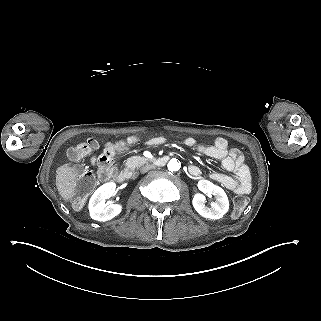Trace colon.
Segmentation results:
<instances>
[{
	"label": "colon",
	"instance_id": "colon-1",
	"mask_svg": "<svg viewBox=\"0 0 321 321\" xmlns=\"http://www.w3.org/2000/svg\"><path fill=\"white\" fill-rule=\"evenodd\" d=\"M98 148V140L90 138L86 142L80 143L72 147L69 152V158L74 162H79L84 157L90 155ZM95 186V179L91 173L85 172L80 176V181L75 189L76 204L79 206L84 199L90 194ZM247 205V199L244 196H236L233 201L232 214L238 217L242 214Z\"/></svg>",
	"mask_w": 321,
	"mask_h": 321
}]
</instances>
